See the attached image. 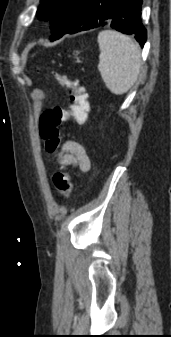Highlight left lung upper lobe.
I'll use <instances>...</instances> for the list:
<instances>
[{"label": "left lung upper lobe", "instance_id": "1", "mask_svg": "<svg viewBox=\"0 0 171 337\" xmlns=\"http://www.w3.org/2000/svg\"><path fill=\"white\" fill-rule=\"evenodd\" d=\"M85 0H41L37 17L50 20L52 24L51 40L66 34L76 23Z\"/></svg>", "mask_w": 171, "mask_h": 337}]
</instances>
